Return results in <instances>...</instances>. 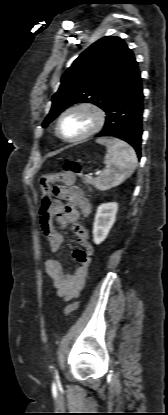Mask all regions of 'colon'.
<instances>
[{
    "instance_id": "colon-1",
    "label": "colon",
    "mask_w": 168,
    "mask_h": 415,
    "mask_svg": "<svg viewBox=\"0 0 168 415\" xmlns=\"http://www.w3.org/2000/svg\"><path fill=\"white\" fill-rule=\"evenodd\" d=\"M83 172L81 166L75 161H68L63 166V172L56 174L44 175L40 179V186L42 189V201L40 216L44 224H49L54 220V209L50 199V195L53 193V189L50 186V183L61 182L66 186H71L77 177H82ZM85 187H89L90 183L85 182ZM97 192L96 190L94 191ZM79 307V302H73L67 305L64 309V315L68 316L76 311Z\"/></svg>"
}]
</instances>
